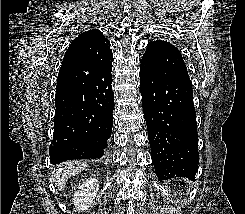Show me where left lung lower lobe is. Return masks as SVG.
<instances>
[{
    "instance_id": "1",
    "label": "left lung lower lobe",
    "mask_w": 245,
    "mask_h": 214,
    "mask_svg": "<svg viewBox=\"0 0 245 214\" xmlns=\"http://www.w3.org/2000/svg\"><path fill=\"white\" fill-rule=\"evenodd\" d=\"M142 106L151 158L159 181L182 177L195 181L198 134L190 79L140 68Z\"/></svg>"
}]
</instances>
